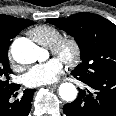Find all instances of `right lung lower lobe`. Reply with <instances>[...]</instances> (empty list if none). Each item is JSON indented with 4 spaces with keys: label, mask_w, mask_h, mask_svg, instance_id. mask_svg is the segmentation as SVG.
Instances as JSON below:
<instances>
[{
    "label": "right lung lower lobe",
    "mask_w": 116,
    "mask_h": 116,
    "mask_svg": "<svg viewBox=\"0 0 116 116\" xmlns=\"http://www.w3.org/2000/svg\"><path fill=\"white\" fill-rule=\"evenodd\" d=\"M18 89L19 86L14 85L8 92L0 94V116H27L29 114L35 89H26L20 99L11 102V96Z\"/></svg>",
    "instance_id": "obj_1"
}]
</instances>
